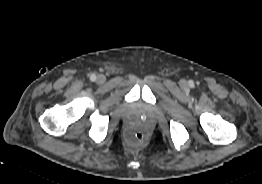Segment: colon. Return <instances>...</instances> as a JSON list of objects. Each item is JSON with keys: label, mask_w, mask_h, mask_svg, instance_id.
Wrapping results in <instances>:
<instances>
[{"label": "colon", "mask_w": 262, "mask_h": 184, "mask_svg": "<svg viewBox=\"0 0 262 184\" xmlns=\"http://www.w3.org/2000/svg\"><path fill=\"white\" fill-rule=\"evenodd\" d=\"M146 139V134L138 128H133L128 133V141L133 146H140L144 144Z\"/></svg>", "instance_id": "colon-1"}]
</instances>
